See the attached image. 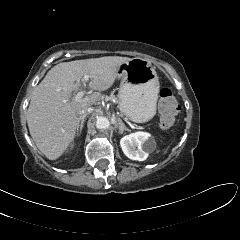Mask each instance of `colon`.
I'll return each mask as SVG.
<instances>
[{"instance_id": "obj_1", "label": "colon", "mask_w": 240, "mask_h": 240, "mask_svg": "<svg viewBox=\"0 0 240 240\" xmlns=\"http://www.w3.org/2000/svg\"><path fill=\"white\" fill-rule=\"evenodd\" d=\"M179 110L178 103L168 88H163L160 91L159 111L161 113V124L164 128L171 127Z\"/></svg>"}]
</instances>
